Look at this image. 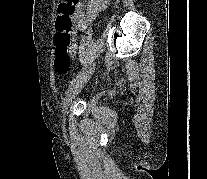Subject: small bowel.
Listing matches in <instances>:
<instances>
[{"label": "small bowel", "instance_id": "small-bowel-1", "mask_svg": "<svg viewBox=\"0 0 207 179\" xmlns=\"http://www.w3.org/2000/svg\"><path fill=\"white\" fill-rule=\"evenodd\" d=\"M108 3V0H88L87 4L79 5L74 15V21L79 31H84L87 28L89 21L102 11ZM79 48L77 41L71 46V52L76 53Z\"/></svg>", "mask_w": 207, "mask_h": 179}]
</instances>
